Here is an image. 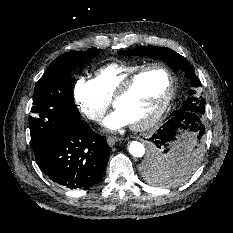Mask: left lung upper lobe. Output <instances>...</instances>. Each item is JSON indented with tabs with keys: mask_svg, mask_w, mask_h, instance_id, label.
<instances>
[{
	"mask_svg": "<svg viewBox=\"0 0 233 233\" xmlns=\"http://www.w3.org/2000/svg\"><path fill=\"white\" fill-rule=\"evenodd\" d=\"M126 56L143 55L160 59L170 65L175 71L183 70L191 78V88L188 98L180 110L174 111L169 118L186 125L201 122L205 112V100L199 94L201 82L194 74V67L183 56L165 47L144 46L128 51H119Z\"/></svg>",
	"mask_w": 233,
	"mask_h": 233,
	"instance_id": "left-lung-upper-lobe-1",
	"label": "left lung upper lobe"
}]
</instances>
